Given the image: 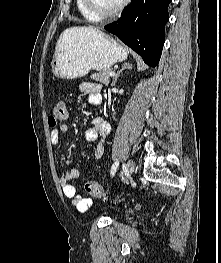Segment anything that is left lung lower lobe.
I'll list each match as a JSON object with an SVG mask.
<instances>
[{"label":"left lung lower lobe","mask_w":221,"mask_h":263,"mask_svg":"<svg viewBox=\"0 0 221 263\" xmlns=\"http://www.w3.org/2000/svg\"><path fill=\"white\" fill-rule=\"evenodd\" d=\"M171 0H132L121 17L104 28L155 67L164 45L165 24L169 20Z\"/></svg>","instance_id":"1"}]
</instances>
